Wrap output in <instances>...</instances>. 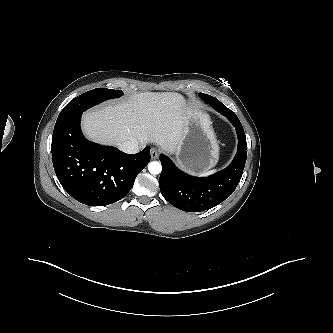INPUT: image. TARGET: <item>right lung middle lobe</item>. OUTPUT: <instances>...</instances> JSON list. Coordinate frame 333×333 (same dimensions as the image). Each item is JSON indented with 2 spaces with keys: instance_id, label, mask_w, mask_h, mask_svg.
Listing matches in <instances>:
<instances>
[{
  "instance_id": "right-lung-middle-lobe-1",
  "label": "right lung middle lobe",
  "mask_w": 333,
  "mask_h": 333,
  "mask_svg": "<svg viewBox=\"0 0 333 333\" xmlns=\"http://www.w3.org/2000/svg\"><path fill=\"white\" fill-rule=\"evenodd\" d=\"M123 95L121 90H113L106 88H97L91 91H88L74 99H72L61 111L71 112L74 114L82 113L88 108L95 106L107 99L117 98Z\"/></svg>"
}]
</instances>
